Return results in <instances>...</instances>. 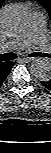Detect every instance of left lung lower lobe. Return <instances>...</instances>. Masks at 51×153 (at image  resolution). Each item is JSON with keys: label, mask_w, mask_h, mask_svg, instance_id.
Segmentation results:
<instances>
[{"label": "left lung lower lobe", "mask_w": 51, "mask_h": 153, "mask_svg": "<svg viewBox=\"0 0 51 153\" xmlns=\"http://www.w3.org/2000/svg\"><path fill=\"white\" fill-rule=\"evenodd\" d=\"M41 83L49 90H51V80L49 81H41Z\"/></svg>", "instance_id": "0a47b994"}]
</instances>
